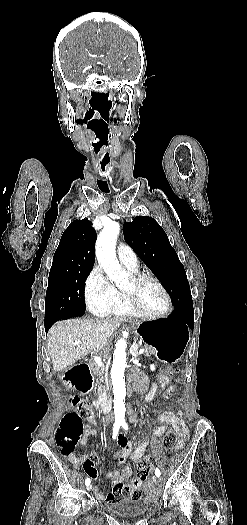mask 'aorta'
I'll list each match as a JSON object with an SVG mask.
<instances>
[{
  "instance_id": "1",
  "label": "aorta",
  "mask_w": 247,
  "mask_h": 525,
  "mask_svg": "<svg viewBox=\"0 0 247 525\" xmlns=\"http://www.w3.org/2000/svg\"><path fill=\"white\" fill-rule=\"evenodd\" d=\"M120 231L117 222H110L104 226L96 242V256L99 264L106 273L108 279L115 283L119 288L128 284L129 275L120 266L115 252V243ZM126 346L124 339L116 342L113 354V365L111 369V380L114 393V414L115 421L124 422L125 417V376L126 367Z\"/></svg>"
}]
</instances>
